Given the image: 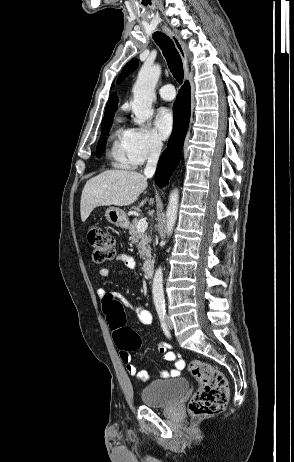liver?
Instances as JSON below:
<instances>
[{
    "instance_id": "liver-1",
    "label": "liver",
    "mask_w": 294,
    "mask_h": 462,
    "mask_svg": "<svg viewBox=\"0 0 294 462\" xmlns=\"http://www.w3.org/2000/svg\"><path fill=\"white\" fill-rule=\"evenodd\" d=\"M147 178L131 170H107L89 179L82 191L81 220L85 222L99 206H128L147 188ZM147 198L139 207L144 206Z\"/></svg>"
}]
</instances>
